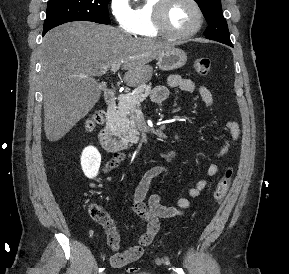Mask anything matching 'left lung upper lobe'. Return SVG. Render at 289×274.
I'll use <instances>...</instances> for the list:
<instances>
[{
    "label": "left lung upper lobe",
    "instance_id": "1",
    "mask_svg": "<svg viewBox=\"0 0 289 274\" xmlns=\"http://www.w3.org/2000/svg\"><path fill=\"white\" fill-rule=\"evenodd\" d=\"M195 1L209 25L204 32L205 37L224 44L231 43L227 22L222 13L221 0Z\"/></svg>",
    "mask_w": 289,
    "mask_h": 274
}]
</instances>
